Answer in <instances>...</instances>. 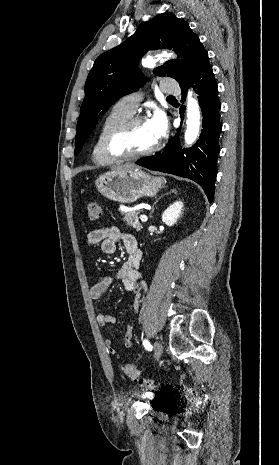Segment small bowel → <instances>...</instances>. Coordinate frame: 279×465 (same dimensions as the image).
Segmentation results:
<instances>
[{
    "label": "small bowel",
    "mask_w": 279,
    "mask_h": 465,
    "mask_svg": "<svg viewBox=\"0 0 279 465\" xmlns=\"http://www.w3.org/2000/svg\"><path fill=\"white\" fill-rule=\"evenodd\" d=\"M120 242L123 243L128 258L121 264L114 276H103L90 288L89 295L93 300L100 299L114 280L121 281L124 289L129 293H138L141 289L142 274L139 271V266L142 253L136 238L113 225L93 230L87 235V244L89 246L100 244L102 251L106 254L115 253L117 244ZM115 320L114 315L111 313L106 312L97 315V322L102 327L115 323ZM133 333L134 327L127 324L122 339L125 348L132 347ZM104 343L110 354L116 353L110 339H105Z\"/></svg>",
    "instance_id": "obj_1"
}]
</instances>
